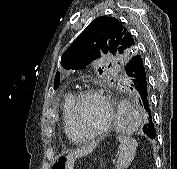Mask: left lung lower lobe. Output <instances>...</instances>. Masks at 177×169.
Returning a JSON list of instances; mask_svg holds the SVG:
<instances>
[{"label":"left lung lower lobe","instance_id":"0a47b994","mask_svg":"<svg viewBox=\"0 0 177 169\" xmlns=\"http://www.w3.org/2000/svg\"><path fill=\"white\" fill-rule=\"evenodd\" d=\"M130 88L136 91L139 102L144 109L146 123L143 132L151 139H155V128L152 122L151 106L149 102L147 73L144 60L140 55L133 56L125 66Z\"/></svg>","mask_w":177,"mask_h":169}]
</instances>
